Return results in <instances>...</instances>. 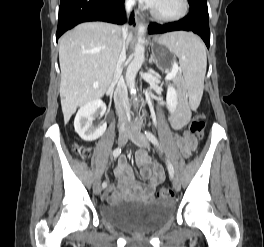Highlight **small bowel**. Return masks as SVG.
Segmentation results:
<instances>
[{
  "mask_svg": "<svg viewBox=\"0 0 264 247\" xmlns=\"http://www.w3.org/2000/svg\"><path fill=\"white\" fill-rule=\"evenodd\" d=\"M189 111H184L180 116L172 118L171 124L174 129L182 128L188 121ZM177 143L185 157H189L196 147L195 138L188 132L177 137ZM136 162L140 167V176L148 179L150 183L142 186L134 176L130 164L125 158H120L115 167V176L119 181L117 190L113 186L108 188L104 199L110 202L118 200L120 197L136 196L142 199H151L154 196L156 188L164 179V173L161 166L154 163L148 157L145 150L140 149L136 153Z\"/></svg>",
  "mask_w": 264,
  "mask_h": 247,
  "instance_id": "1",
  "label": "small bowel"
}]
</instances>
